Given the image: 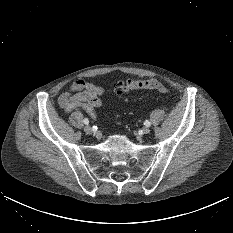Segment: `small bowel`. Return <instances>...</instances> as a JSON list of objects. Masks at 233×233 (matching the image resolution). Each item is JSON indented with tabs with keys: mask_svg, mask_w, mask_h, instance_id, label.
Here are the masks:
<instances>
[{
	"mask_svg": "<svg viewBox=\"0 0 233 233\" xmlns=\"http://www.w3.org/2000/svg\"><path fill=\"white\" fill-rule=\"evenodd\" d=\"M104 94L103 87L84 79H77L72 82L69 91L59 96L58 104L66 113L81 108L89 116L96 118L97 109L103 105L101 97Z\"/></svg>",
	"mask_w": 233,
	"mask_h": 233,
	"instance_id": "small-bowel-1",
	"label": "small bowel"
}]
</instances>
